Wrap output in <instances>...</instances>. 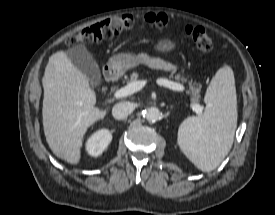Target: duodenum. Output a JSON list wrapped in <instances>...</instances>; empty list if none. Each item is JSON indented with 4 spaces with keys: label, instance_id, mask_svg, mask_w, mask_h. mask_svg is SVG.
<instances>
[{
    "label": "duodenum",
    "instance_id": "obj_1",
    "mask_svg": "<svg viewBox=\"0 0 275 215\" xmlns=\"http://www.w3.org/2000/svg\"><path fill=\"white\" fill-rule=\"evenodd\" d=\"M104 77L109 83H114L117 81L118 74L114 69L107 68L104 70Z\"/></svg>",
    "mask_w": 275,
    "mask_h": 215
}]
</instances>
